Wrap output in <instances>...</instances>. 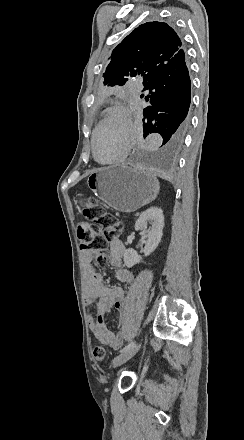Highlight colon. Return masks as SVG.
<instances>
[{
  "instance_id": "1",
  "label": "colon",
  "mask_w": 244,
  "mask_h": 440,
  "mask_svg": "<svg viewBox=\"0 0 244 440\" xmlns=\"http://www.w3.org/2000/svg\"><path fill=\"white\" fill-rule=\"evenodd\" d=\"M82 215L88 220L78 225V238L81 239V248L92 251L97 264L105 262V251L114 230H120L122 223L112 213H106L102 206L94 199L81 200ZM104 229V233L101 230ZM92 355L96 362H103L106 351L102 344L92 345Z\"/></svg>"
}]
</instances>
